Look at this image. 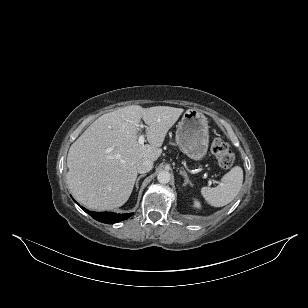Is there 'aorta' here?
I'll return each instance as SVG.
<instances>
[{
  "instance_id": "aorta-1",
  "label": "aorta",
  "mask_w": 308,
  "mask_h": 308,
  "mask_svg": "<svg viewBox=\"0 0 308 308\" xmlns=\"http://www.w3.org/2000/svg\"><path fill=\"white\" fill-rule=\"evenodd\" d=\"M170 179H171V174L166 170L160 171L157 175L158 182L162 184L168 183Z\"/></svg>"
}]
</instances>
